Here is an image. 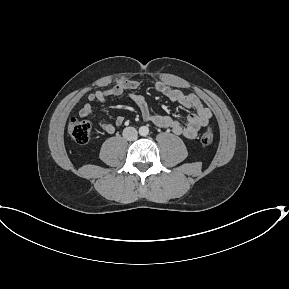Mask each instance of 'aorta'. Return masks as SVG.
<instances>
[{"instance_id":"1","label":"aorta","mask_w":289,"mask_h":289,"mask_svg":"<svg viewBox=\"0 0 289 289\" xmlns=\"http://www.w3.org/2000/svg\"><path fill=\"white\" fill-rule=\"evenodd\" d=\"M148 133H149V128H148L147 126H141V127L139 128V134H140L141 136H147Z\"/></svg>"}]
</instances>
